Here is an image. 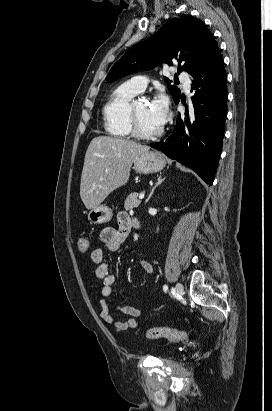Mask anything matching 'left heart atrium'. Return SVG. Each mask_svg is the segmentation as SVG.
<instances>
[{
  "instance_id": "1",
  "label": "left heart atrium",
  "mask_w": 272,
  "mask_h": 411,
  "mask_svg": "<svg viewBox=\"0 0 272 411\" xmlns=\"http://www.w3.org/2000/svg\"><path fill=\"white\" fill-rule=\"evenodd\" d=\"M167 111H168V100L162 94L156 96L149 103V114L152 120L160 127L167 120Z\"/></svg>"
}]
</instances>
